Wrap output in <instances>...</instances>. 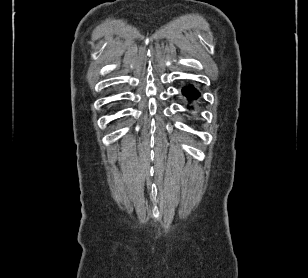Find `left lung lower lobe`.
I'll use <instances>...</instances> for the list:
<instances>
[{
  "instance_id": "obj_1",
  "label": "left lung lower lobe",
  "mask_w": 308,
  "mask_h": 278,
  "mask_svg": "<svg viewBox=\"0 0 308 278\" xmlns=\"http://www.w3.org/2000/svg\"><path fill=\"white\" fill-rule=\"evenodd\" d=\"M182 92L189 100L197 99V97L200 95V93L194 89L193 86H187L183 88Z\"/></svg>"
}]
</instances>
